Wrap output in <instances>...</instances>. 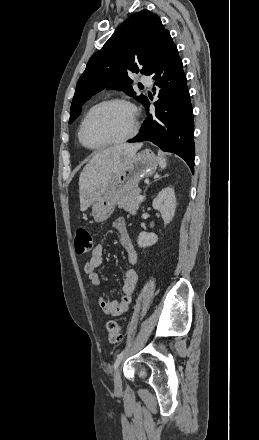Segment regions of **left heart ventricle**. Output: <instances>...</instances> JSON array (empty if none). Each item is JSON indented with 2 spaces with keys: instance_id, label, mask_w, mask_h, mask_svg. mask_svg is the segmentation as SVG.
Masks as SVG:
<instances>
[{
  "instance_id": "1",
  "label": "left heart ventricle",
  "mask_w": 259,
  "mask_h": 440,
  "mask_svg": "<svg viewBox=\"0 0 259 440\" xmlns=\"http://www.w3.org/2000/svg\"><path fill=\"white\" fill-rule=\"evenodd\" d=\"M132 127L129 108L122 104H111L95 111L86 123L84 137L90 145H100L120 139Z\"/></svg>"
}]
</instances>
